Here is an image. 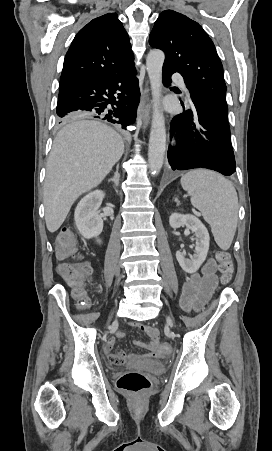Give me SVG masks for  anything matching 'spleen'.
I'll list each match as a JSON object with an SVG mask.
<instances>
[{"label": "spleen", "instance_id": "3e777b00", "mask_svg": "<svg viewBox=\"0 0 272 451\" xmlns=\"http://www.w3.org/2000/svg\"><path fill=\"white\" fill-rule=\"evenodd\" d=\"M181 186L191 196L192 206L210 224L219 247L229 249L238 218V196L233 184L217 172L192 170L182 176Z\"/></svg>", "mask_w": 272, "mask_h": 451}]
</instances>
